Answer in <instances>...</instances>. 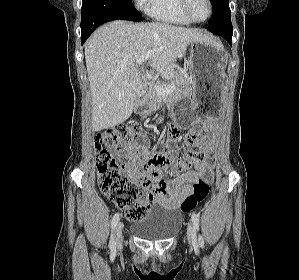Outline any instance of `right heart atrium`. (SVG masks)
Here are the masks:
<instances>
[{"label":"right heart atrium","instance_id":"right-heart-atrium-1","mask_svg":"<svg viewBox=\"0 0 299 280\" xmlns=\"http://www.w3.org/2000/svg\"><path fill=\"white\" fill-rule=\"evenodd\" d=\"M149 0H135L136 6L138 8H146Z\"/></svg>","mask_w":299,"mask_h":280}]
</instances>
